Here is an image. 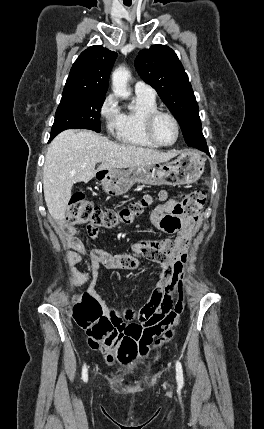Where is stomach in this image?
<instances>
[{"label": "stomach", "mask_w": 264, "mask_h": 429, "mask_svg": "<svg viewBox=\"0 0 264 429\" xmlns=\"http://www.w3.org/2000/svg\"><path fill=\"white\" fill-rule=\"evenodd\" d=\"M205 159L195 150H185L164 164L136 166L127 170L103 169L95 174L103 190L110 196L125 194L136 183L149 185H189L204 171Z\"/></svg>", "instance_id": "obj_1"}]
</instances>
